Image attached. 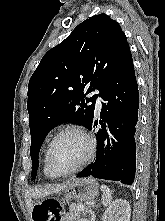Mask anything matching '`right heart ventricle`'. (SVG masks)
<instances>
[{
  "label": "right heart ventricle",
  "mask_w": 165,
  "mask_h": 221,
  "mask_svg": "<svg viewBox=\"0 0 165 221\" xmlns=\"http://www.w3.org/2000/svg\"><path fill=\"white\" fill-rule=\"evenodd\" d=\"M43 173L45 176L47 177H56L47 167V164L45 162V156H44V159H43Z\"/></svg>",
  "instance_id": "obj_1"
}]
</instances>
